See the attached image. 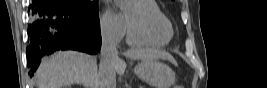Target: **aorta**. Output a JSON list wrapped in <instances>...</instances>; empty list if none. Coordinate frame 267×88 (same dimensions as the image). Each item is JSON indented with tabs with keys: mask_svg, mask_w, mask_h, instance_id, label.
<instances>
[{
	"mask_svg": "<svg viewBox=\"0 0 267 88\" xmlns=\"http://www.w3.org/2000/svg\"><path fill=\"white\" fill-rule=\"evenodd\" d=\"M117 4L120 5V6H123L127 0H116Z\"/></svg>",
	"mask_w": 267,
	"mask_h": 88,
	"instance_id": "1",
	"label": "aorta"
}]
</instances>
